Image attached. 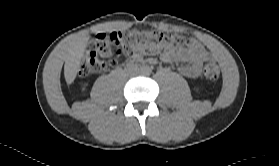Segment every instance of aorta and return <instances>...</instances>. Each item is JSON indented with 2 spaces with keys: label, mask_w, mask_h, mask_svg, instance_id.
<instances>
[{
  "label": "aorta",
  "mask_w": 279,
  "mask_h": 166,
  "mask_svg": "<svg viewBox=\"0 0 279 166\" xmlns=\"http://www.w3.org/2000/svg\"><path fill=\"white\" fill-rule=\"evenodd\" d=\"M142 73L145 75H149L151 73V68L149 66H144L141 69Z\"/></svg>",
  "instance_id": "762f6f07"
}]
</instances>
